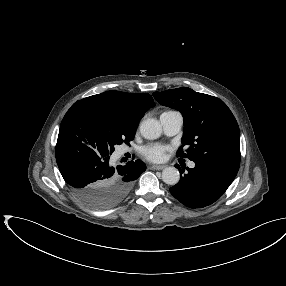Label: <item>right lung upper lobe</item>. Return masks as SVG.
<instances>
[{"label": "right lung upper lobe", "instance_id": "obj_1", "mask_svg": "<svg viewBox=\"0 0 286 286\" xmlns=\"http://www.w3.org/2000/svg\"><path fill=\"white\" fill-rule=\"evenodd\" d=\"M77 102L107 108L118 115L128 128L135 131L145 112L155 106L150 94H132L121 91H107Z\"/></svg>", "mask_w": 286, "mask_h": 286}]
</instances>
